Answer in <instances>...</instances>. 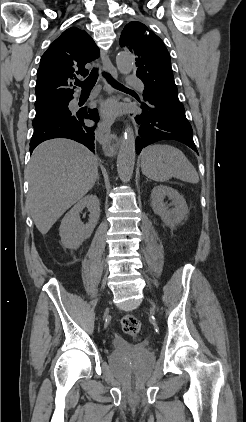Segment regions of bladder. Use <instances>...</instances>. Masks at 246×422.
<instances>
[{
    "label": "bladder",
    "instance_id": "bladder-1",
    "mask_svg": "<svg viewBox=\"0 0 246 422\" xmlns=\"http://www.w3.org/2000/svg\"><path fill=\"white\" fill-rule=\"evenodd\" d=\"M124 355H129L133 361L142 366H150L154 362V355L146 350H131L116 348L110 357L112 363H117Z\"/></svg>",
    "mask_w": 246,
    "mask_h": 422
}]
</instances>
